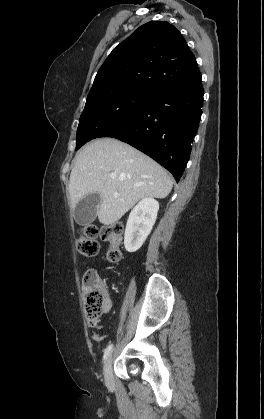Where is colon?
<instances>
[{"mask_svg":"<svg viewBox=\"0 0 264 419\" xmlns=\"http://www.w3.org/2000/svg\"><path fill=\"white\" fill-rule=\"evenodd\" d=\"M122 234V226H113L99 230L94 225L84 227L83 235L77 240V249L85 257H94L98 254L99 244L96 237L102 238L110 243L106 252V258L110 263H116L121 259V251L118 246ZM82 292L84 310L88 323L96 327L108 301L106 285L95 271H88L82 281Z\"/></svg>","mask_w":264,"mask_h":419,"instance_id":"5ec220e1","label":"colon"}]
</instances>
